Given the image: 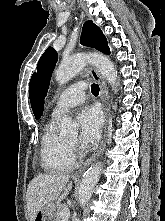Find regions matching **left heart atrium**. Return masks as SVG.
Returning a JSON list of instances; mask_svg holds the SVG:
<instances>
[{"mask_svg": "<svg viewBox=\"0 0 165 221\" xmlns=\"http://www.w3.org/2000/svg\"><path fill=\"white\" fill-rule=\"evenodd\" d=\"M80 126L79 140L83 147L92 146L99 138L102 128V115L95 107H86L78 114Z\"/></svg>", "mask_w": 165, "mask_h": 221, "instance_id": "left-heart-atrium-1", "label": "left heart atrium"}]
</instances>
